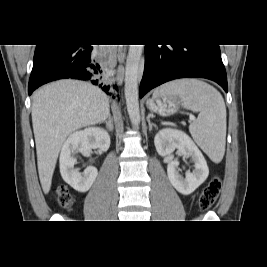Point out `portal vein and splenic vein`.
<instances>
[{"instance_id": "18ae733b", "label": "portal vein and splenic vein", "mask_w": 267, "mask_h": 267, "mask_svg": "<svg viewBox=\"0 0 267 267\" xmlns=\"http://www.w3.org/2000/svg\"><path fill=\"white\" fill-rule=\"evenodd\" d=\"M190 119H191V120H195V117H194V116H190Z\"/></svg>"}]
</instances>
